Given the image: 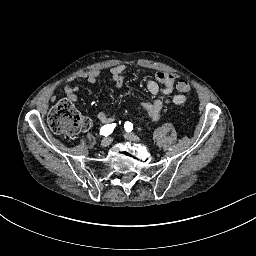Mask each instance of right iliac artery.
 Returning <instances> with one entry per match:
<instances>
[{
    "label": "right iliac artery",
    "instance_id": "obj_1",
    "mask_svg": "<svg viewBox=\"0 0 256 256\" xmlns=\"http://www.w3.org/2000/svg\"><path fill=\"white\" fill-rule=\"evenodd\" d=\"M116 124H107L104 125L101 129H100V135H104V136H108L110 135L114 128H115Z\"/></svg>",
    "mask_w": 256,
    "mask_h": 256
}]
</instances>
